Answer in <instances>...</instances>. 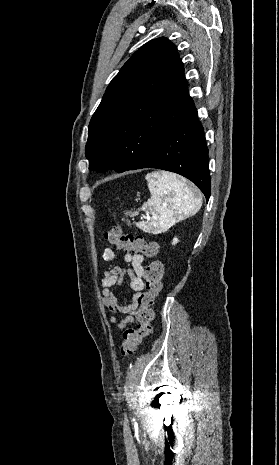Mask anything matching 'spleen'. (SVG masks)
Returning <instances> with one entry per match:
<instances>
[{"mask_svg":"<svg viewBox=\"0 0 279 465\" xmlns=\"http://www.w3.org/2000/svg\"><path fill=\"white\" fill-rule=\"evenodd\" d=\"M151 198L141 210L152 215L150 221L136 224L147 232L168 230L177 222L195 215L202 206V195L194 185L174 173L154 171L146 175ZM134 216L137 212H126Z\"/></svg>","mask_w":279,"mask_h":465,"instance_id":"3e777b00","label":"spleen"}]
</instances>
